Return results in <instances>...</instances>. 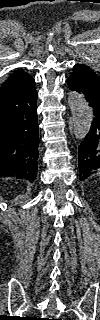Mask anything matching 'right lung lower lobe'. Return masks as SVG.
Returning <instances> with one entry per match:
<instances>
[{"mask_svg": "<svg viewBox=\"0 0 100 320\" xmlns=\"http://www.w3.org/2000/svg\"><path fill=\"white\" fill-rule=\"evenodd\" d=\"M35 86L27 94L0 100V176L34 181L39 156Z\"/></svg>", "mask_w": 100, "mask_h": 320, "instance_id": "right-lung-lower-lobe-1", "label": "right lung lower lobe"}]
</instances>
